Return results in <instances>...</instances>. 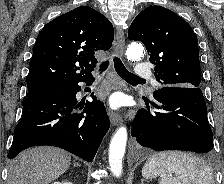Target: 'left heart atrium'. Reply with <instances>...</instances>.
Masks as SVG:
<instances>
[{"mask_svg":"<svg viewBox=\"0 0 224 184\" xmlns=\"http://www.w3.org/2000/svg\"><path fill=\"white\" fill-rule=\"evenodd\" d=\"M111 105L113 107H117L118 106V99L117 97H113L112 100H111Z\"/></svg>","mask_w":224,"mask_h":184,"instance_id":"obj_1","label":"left heart atrium"}]
</instances>
